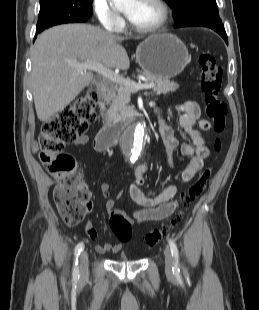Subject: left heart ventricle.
Listing matches in <instances>:
<instances>
[{
	"mask_svg": "<svg viewBox=\"0 0 259 310\" xmlns=\"http://www.w3.org/2000/svg\"><path fill=\"white\" fill-rule=\"evenodd\" d=\"M124 11L130 21L139 27H151L161 19V9L153 0H131Z\"/></svg>",
	"mask_w": 259,
	"mask_h": 310,
	"instance_id": "b2bd125f",
	"label": "left heart ventricle"
}]
</instances>
